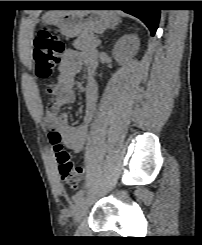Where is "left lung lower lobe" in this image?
I'll return each mask as SVG.
<instances>
[{"instance_id":"1","label":"left lung lower lobe","mask_w":202,"mask_h":245,"mask_svg":"<svg viewBox=\"0 0 202 245\" xmlns=\"http://www.w3.org/2000/svg\"><path fill=\"white\" fill-rule=\"evenodd\" d=\"M85 6L112 5L122 7L120 10L139 18L149 28L151 35L154 36L158 28L160 10L149 7L145 1H84Z\"/></svg>"}]
</instances>
